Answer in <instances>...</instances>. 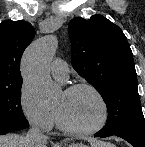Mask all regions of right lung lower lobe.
<instances>
[{
  "instance_id": "right-lung-lower-lobe-1",
  "label": "right lung lower lobe",
  "mask_w": 145,
  "mask_h": 147,
  "mask_svg": "<svg viewBox=\"0 0 145 147\" xmlns=\"http://www.w3.org/2000/svg\"><path fill=\"white\" fill-rule=\"evenodd\" d=\"M11 132H14V131H10V132H0V135H4V134H7V133H11Z\"/></svg>"
}]
</instances>
